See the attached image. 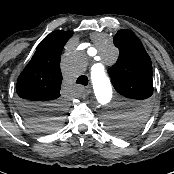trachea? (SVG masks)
Instances as JSON below:
<instances>
[{"label": "trachea", "instance_id": "trachea-1", "mask_svg": "<svg viewBox=\"0 0 174 174\" xmlns=\"http://www.w3.org/2000/svg\"><path fill=\"white\" fill-rule=\"evenodd\" d=\"M76 83L82 84L84 86H87V84H88V78H87V76L82 75V76L78 77Z\"/></svg>", "mask_w": 174, "mask_h": 174}]
</instances>
